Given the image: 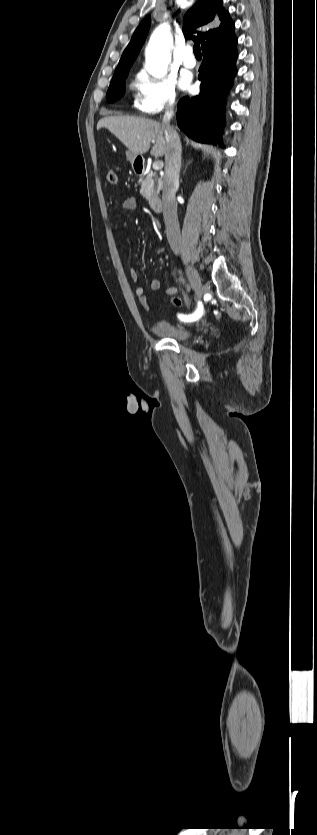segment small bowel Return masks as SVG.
<instances>
[{
  "mask_svg": "<svg viewBox=\"0 0 317 835\" xmlns=\"http://www.w3.org/2000/svg\"><path fill=\"white\" fill-rule=\"evenodd\" d=\"M137 204H138V199H137L136 197H130V198L126 199V200L122 203V207H123V209H125V210H133V209L137 206ZM129 275H130V278H131V280H132L133 282H137V281H138V279H139V275H138V272H137V270H136L135 268L131 267V268L129 269ZM150 287H151V289H152V290H154V291H158V290H160V289H161V282H160V280H158V279H156V278L152 279V280H151V283H150ZM135 293H136V295H137V297H138V299H139V301H140L141 305H142L144 308H149V307H150V302H149L148 297H147V296H146V294H145V289H144L143 287H141V286H138V287L135 289ZM165 293H166L167 295H175V294L177 293V288H176L175 286H168V287H166V288H165ZM196 309H197V308H196ZM195 311H196V310H195ZM195 311H194V312H195ZM194 312H193V313H194ZM193 313H192V314H193ZM190 315H191V314H190Z\"/></svg>",
  "mask_w": 317,
  "mask_h": 835,
  "instance_id": "1",
  "label": "small bowel"
}]
</instances>
